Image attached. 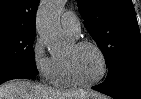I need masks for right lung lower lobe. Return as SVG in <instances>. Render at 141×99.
Masks as SVG:
<instances>
[{"instance_id": "obj_1", "label": "right lung lower lobe", "mask_w": 141, "mask_h": 99, "mask_svg": "<svg viewBox=\"0 0 141 99\" xmlns=\"http://www.w3.org/2000/svg\"><path fill=\"white\" fill-rule=\"evenodd\" d=\"M37 74V70H29L23 68L0 70V84L12 79L33 77Z\"/></svg>"}]
</instances>
